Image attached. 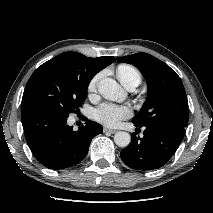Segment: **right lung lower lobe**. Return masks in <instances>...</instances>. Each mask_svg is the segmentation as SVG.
<instances>
[{
  "instance_id": "1",
  "label": "right lung lower lobe",
  "mask_w": 213,
  "mask_h": 213,
  "mask_svg": "<svg viewBox=\"0 0 213 213\" xmlns=\"http://www.w3.org/2000/svg\"><path fill=\"white\" fill-rule=\"evenodd\" d=\"M26 141L35 158L46 168L64 169L79 163L87 154L92 138L103 132L100 124L87 121L78 131L64 117L42 106L21 108Z\"/></svg>"
}]
</instances>
